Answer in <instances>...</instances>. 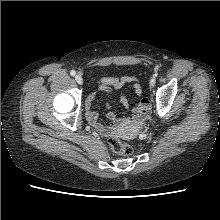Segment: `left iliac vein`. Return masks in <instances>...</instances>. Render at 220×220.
Returning a JSON list of instances; mask_svg holds the SVG:
<instances>
[{
  "instance_id": "left-iliac-vein-1",
  "label": "left iliac vein",
  "mask_w": 220,
  "mask_h": 220,
  "mask_svg": "<svg viewBox=\"0 0 220 220\" xmlns=\"http://www.w3.org/2000/svg\"><path fill=\"white\" fill-rule=\"evenodd\" d=\"M155 83H156V79H155V77H152L150 79V86L153 87L155 85Z\"/></svg>"
}]
</instances>
